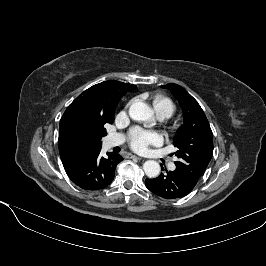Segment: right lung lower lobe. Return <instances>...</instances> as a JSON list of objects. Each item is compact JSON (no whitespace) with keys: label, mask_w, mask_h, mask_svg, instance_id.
<instances>
[{"label":"right lung lower lobe","mask_w":266,"mask_h":266,"mask_svg":"<svg viewBox=\"0 0 266 266\" xmlns=\"http://www.w3.org/2000/svg\"><path fill=\"white\" fill-rule=\"evenodd\" d=\"M101 147L82 153L63 163L65 171L74 184L84 190L103 189L114 179L115 168L123 158L118 153L100 157Z\"/></svg>","instance_id":"98d812e1"}]
</instances>
